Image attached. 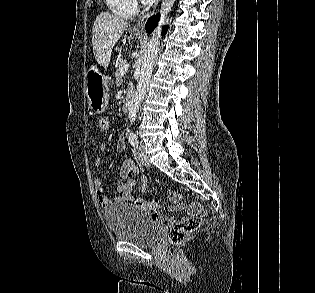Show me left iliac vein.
Wrapping results in <instances>:
<instances>
[{"label": "left iliac vein", "instance_id": "left-iliac-vein-1", "mask_svg": "<svg viewBox=\"0 0 315 293\" xmlns=\"http://www.w3.org/2000/svg\"><path fill=\"white\" fill-rule=\"evenodd\" d=\"M137 157H138L139 161L141 162V164H143L146 167L150 166V162H149V160L146 156V153H145L144 145H139L137 147Z\"/></svg>", "mask_w": 315, "mask_h": 293}]
</instances>
